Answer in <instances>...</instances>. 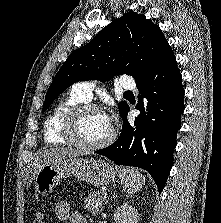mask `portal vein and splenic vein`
<instances>
[{
  "instance_id": "18ae733b",
  "label": "portal vein and splenic vein",
  "mask_w": 221,
  "mask_h": 223,
  "mask_svg": "<svg viewBox=\"0 0 221 223\" xmlns=\"http://www.w3.org/2000/svg\"><path fill=\"white\" fill-rule=\"evenodd\" d=\"M102 194H103V196H104V197H106V196H107V193H106V192H103Z\"/></svg>"
}]
</instances>
